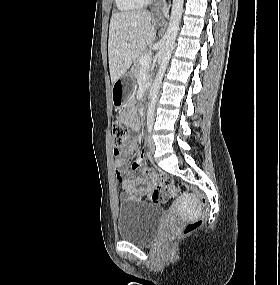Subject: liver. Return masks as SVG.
<instances>
[{"instance_id":"6515ba94","label":"liver","mask_w":280,"mask_h":285,"mask_svg":"<svg viewBox=\"0 0 280 285\" xmlns=\"http://www.w3.org/2000/svg\"><path fill=\"white\" fill-rule=\"evenodd\" d=\"M146 10L114 13L110 20L108 39L109 70L112 83L126 74L137 57L156 39Z\"/></svg>"}]
</instances>
